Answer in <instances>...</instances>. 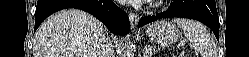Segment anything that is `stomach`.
<instances>
[{
  "instance_id": "0dacf381",
  "label": "stomach",
  "mask_w": 249,
  "mask_h": 57,
  "mask_svg": "<svg viewBox=\"0 0 249 57\" xmlns=\"http://www.w3.org/2000/svg\"><path fill=\"white\" fill-rule=\"evenodd\" d=\"M145 33L150 41L166 45L171 44L178 39L180 30L172 22L157 21L150 24Z\"/></svg>"
}]
</instances>
